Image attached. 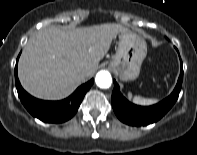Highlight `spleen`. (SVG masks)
Instances as JSON below:
<instances>
[{
	"mask_svg": "<svg viewBox=\"0 0 197 155\" xmlns=\"http://www.w3.org/2000/svg\"><path fill=\"white\" fill-rule=\"evenodd\" d=\"M128 97L131 99L132 94L129 93ZM132 100L135 104H138V105H152L158 101L157 99L143 98L140 96H134Z\"/></svg>",
	"mask_w": 197,
	"mask_h": 155,
	"instance_id": "3e777b00",
	"label": "spleen"
}]
</instances>
